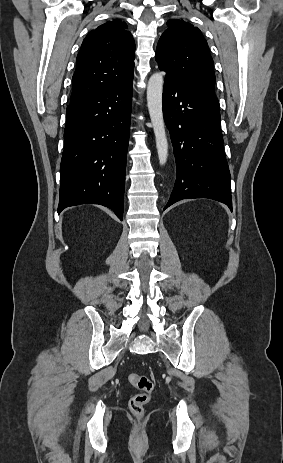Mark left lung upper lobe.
I'll list each match as a JSON object with an SVG mask.
<instances>
[{
	"mask_svg": "<svg viewBox=\"0 0 283 463\" xmlns=\"http://www.w3.org/2000/svg\"><path fill=\"white\" fill-rule=\"evenodd\" d=\"M155 58L161 70L185 88L219 106L209 47L201 31L183 20H168Z\"/></svg>",
	"mask_w": 283,
	"mask_h": 463,
	"instance_id": "5c2ea615",
	"label": "left lung upper lobe"
}]
</instances>
